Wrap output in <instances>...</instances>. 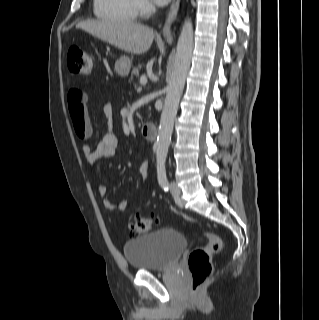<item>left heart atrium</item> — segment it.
<instances>
[{
	"label": "left heart atrium",
	"mask_w": 319,
	"mask_h": 320,
	"mask_svg": "<svg viewBox=\"0 0 319 320\" xmlns=\"http://www.w3.org/2000/svg\"><path fill=\"white\" fill-rule=\"evenodd\" d=\"M170 0H155V2L159 5H165L169 2Z\"/></svg>",
	"instance_id": "1"
}]
</instances>
